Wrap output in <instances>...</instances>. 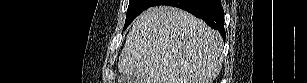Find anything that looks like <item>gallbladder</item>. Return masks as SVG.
<instances>
[{
	"instance_id": "obj_1",
	"label": "gallbladder",
	"mask_w": 307,
	"mask_h": 83,
	"mask_svg": "<svg viewBox=\"0 0 307 83\" xmlns=\"http://www.w3.org/2000/svg\"><path fill=\"white\" fill-rule=\"evenodd\" d=\"M129 82H130V83H136V80H135L133 77H131V78L129 79Z\"/></svg>"
}]
</instances>
